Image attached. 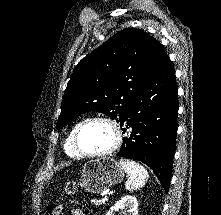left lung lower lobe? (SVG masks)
<instances>
[{
  "instance_id": "1",
  "label": "left lung lower lobe",
  "mask_w": 221,
  "mask_h": 215,
  "mask_svg": "<svg viewBox=\"0 0 221 215\" xmlns=\"http://www.w3.org/2000/svg\"><path fill=\"white\" fill-rule=\"evenodd\" d=\"M177 92L175 71L167 57L130 103L121 125L131 131L117 153L148 165L166 193L176 144Z\"/></svg>"
}]
</instances>
